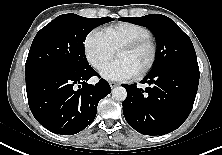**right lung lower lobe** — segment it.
<instances>
[{"label":"right lung lower lobe","mask_w":222,"mask_h":155,"mask_svg":"<svg viewBox=\"0 0 222 155\" xmlns=\"http://www.w3.org/2000/svg\"><path fill=\"white\" fill-rule=\"evenodd\" d=\"M92 76L99 74L89 65L73 73H47L26 83L28 103L35 119L49 131L61 135H73L86 128L96 116L99 100L111 92L104 79L95 85L87 84Z\"/></svg>","instance_id":"obj_1"}]
</instances>
